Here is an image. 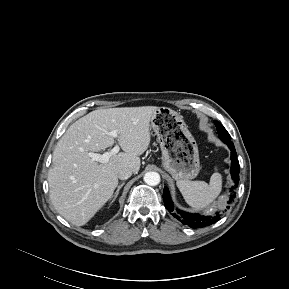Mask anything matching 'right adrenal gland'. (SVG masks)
Returning a JSON list of instances; mask_svg holds the SVG:
<instances>
[{
    "mask_svg": "<svg viewBox=\"0 0 289 289\" xmlns=\"http://www.w3.org/2000/svg\"><path fill=\"white\" fill-rule=\"evenodd\" d=\"M124 184H125V182H123L120 185H118L117 190L115 191L114 195H112V200H111L110 204H112L116 200V198H117V196L119 194V191L124 186Z\"/></svg>",
    "mask_w": 289,
    "mask_h": 289,
    "instance_id": "1",
    "label": "right adrenal gland"
}]
</instances>
